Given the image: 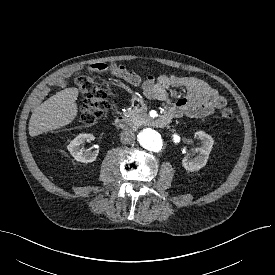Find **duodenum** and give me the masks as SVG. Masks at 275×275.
Here are the masks:
<instances>
[{
  "mask_svg": "<svg viewBox=\"0 0 275 275\" xmlns=\"http://www.w3.org/2000/svg\"><path fill=\"white\" fill-rule=\"evenodd\" d=\"M171 121V117L168 115L160 116L151 120V125L154 127L162 128ZM129 119L123 115H119L115 118L114 124L118 129H124L129 124Z\"/></svg>",
  "mask_w": 275,
  "mask_h": 275,
  "instance_id": "410a0bca",
  "label": "duodenum"
}]
</instances>
